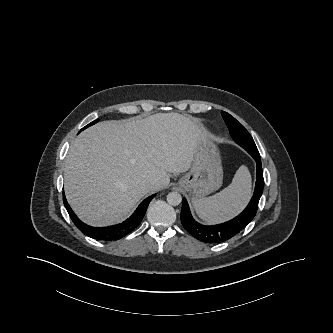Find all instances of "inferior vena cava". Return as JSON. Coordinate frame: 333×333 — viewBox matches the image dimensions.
I'll list each match as a JSON object with an SVG mask.
<instances>
[{"label": "inferior vena cava", "mask_w": 333, "mask_h": 333, "mask_svg": "<svg viewBox=\"0 0 333 333\" xmlns=\"http://www.w3.org/2000/svg\"><path fill=\"white\" fill-rule=\"evenodd\" d=\"M155 183H156L155 180H150V181H149V185H150V186L154 185Z\"/></svg>", "instance_id": "1"}]
</instances>
